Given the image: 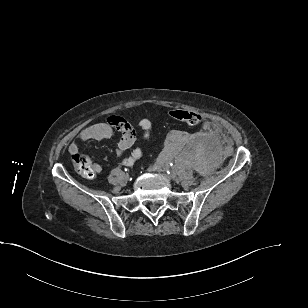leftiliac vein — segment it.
<instances>
[{
	"mask_svg": "<svg viewBox=\"0 0 308 308\" xmlns=\"http://www.w3.org/2000/svg\"><path fill=\"white\" fill-rule=\"evenodd\" d=\"M153 170L157 171L158 173H161L168 181H171L174 178L173 175L167 174L166 169L160 164H155L153 166Z\"/></svg>",
	"mask_w": 308,
	"mask_h": 308,
	"instance_id": "left-iliac-vein-1",
	"label": "left iliac vein"
}]
</instances>
